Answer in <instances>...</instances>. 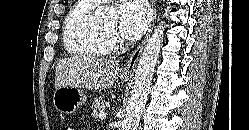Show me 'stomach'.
I'll list each match as a JSON object with an SVG mask.
<instances>
[{
	"mask_svg": "<svg viewBox=\"0 0 249 130\" xmlns=\"http://www.w3.org/2000/svg\"><path fill=\"white\" fill-rule=\"evenodd\" d=\"M86 101L87 96L85 93L71 86H63L56 89L53 96L55 108L64 114H72L81 105L85 104Z\"/></svg>",
	"mask_w": 249,
	"mask_h": 130,
	"instance_id": "0dacf381",
	"label": "stomach"
}]
</instances>
